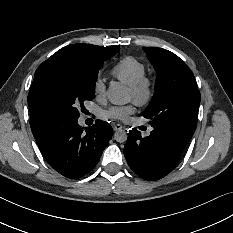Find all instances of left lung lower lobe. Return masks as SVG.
I'll list each match as a JSON object with an SVG mask.
<instances>
[{"instance_id":"left-lung-lower-lobe-1","label":"left lung lower lobe","mask_w":233,"mask_h":233,"mask_svg":"<svg viewBox=\"0 0 233 233\" xmlns=\"http://www.w3.org/2000/svg\"><path fill=\"white\" fill-rule=\"evenodd\" d=\"M192 137V132L180 129H156L143 138L135 128L129 131L124 148L130 168L141 178L153 181L166 176Z\"/></svg>"}]
</instances>
